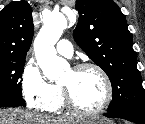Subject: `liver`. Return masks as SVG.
Segmentation results:
<instances>
[{
	"mask_svg": "<svg viewBox=\"0 0 145 124\" xmlns=\"http://www.w3.org/2000/svg\"><path fill=\"white\" fill-rule=\"evenodd\" d=\"M80 119L53 118L22 109H0V124H78Z\"/></svg>",
	"mask_w": 145,
	"mask_h": 124,
	"instance_id": "obj_1",
	"label": "liver"
}]
</instances>
